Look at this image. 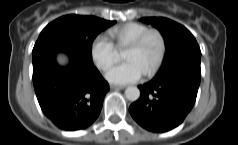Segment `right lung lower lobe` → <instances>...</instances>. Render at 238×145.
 Here are the masks:
<instances>
[{"label": "right lung lower lobe", "mask_w": 238, "mask_h": 145, "mask_svg": "<svg viewBox=\"0 0 238 145\" xmlns=\"http://www.w3.org/2000/svg\"><path fill=\"white\" fill-rule=\"evenodd\" d=\"M58 52L70 56L60 67ZM33 84L39 105L48 119L66 131L85 129L98 117L109 84L89 60L67 50H45L33 55Z\"/></svg>", "instance_id": "98d812e1"}]
</instances>
